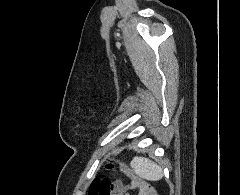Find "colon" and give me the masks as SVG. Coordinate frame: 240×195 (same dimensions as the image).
I'll return each instance as SVG.
<instances>
[{
	"label": "colon",
	"instance_id": "1",
	"mask_svg": "<svg viewBox=\"0 0 240 195\" xmlns=\"http://www.w3.org/2000/svg\"><path fill=\"white\" fill-rule=\"evenodd\" d=\"M119 164L121 167L125 169L127 175L134 180L132 182V185L134 187H140L144 195H156V192L154 190H151V188L146 184L144 180L138 178V175L134 171H132L127 162L123 163L122 161H119ZM113 165L114 159L110 158L107 161V167H112ZM128 194L129 193L121 183L113 182L109 178L98 177L94 179L90 188V195H128Z\"/></svg>",
	"mask_w": 240,
	"mask_h": 195
}]
</instances>
